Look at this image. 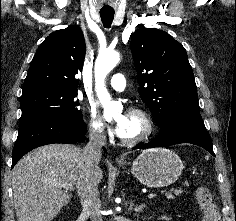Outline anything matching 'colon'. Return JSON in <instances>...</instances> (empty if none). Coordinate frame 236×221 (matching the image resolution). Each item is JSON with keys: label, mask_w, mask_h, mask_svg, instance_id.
<instances>
[{"label": "colon", "mask_w": 236, "mask_h": 221, "mask_svg": "<svg viewBox=\"0 0 236 221\" xmlns=\"http://www.w3.org/2000/svg\"><path fill=\"white\" fill-rule=\"evenodd\" d=\"M195 195L202 212V221H220L219 211L210 190L200 186L196 188Z\"/></svg>", "instance_id": "1"}]
</instances>
